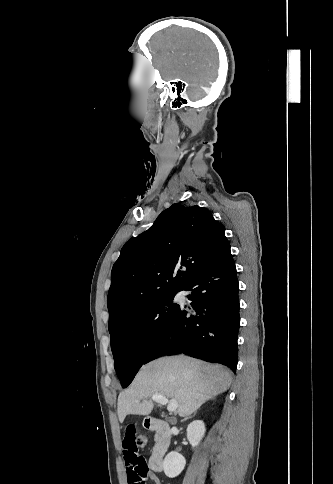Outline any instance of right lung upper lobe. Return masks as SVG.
<instances>
[{
	"mask_svg": "<svg viewBox=\"0 0 333 484\" xmlns=\"http://www.w3.org/2000/svg\"><path fill=\"white\" fill-rule=\"evenodd\" d=\"M229 245L209 210L173 204L145 232L129 240L111 272L109 325L132 309L180 291Z\"/></svg>",
	"mask_w": 333,
	"mask_h": 484,
	"instance_id": "cb5924a9",
	"label": "right lung upper lobe"
}]
</instances>
